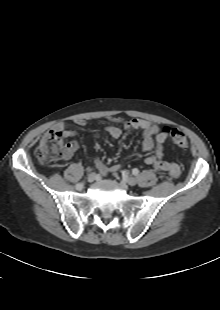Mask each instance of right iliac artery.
<instances>
[{"label": "right iliac artery", "mask_w": 220, "mask_h": 310, "mask_svg": "<svg viewBox=\"0 0 220 310\" xmlns=\"http://www.w3.org/2000/svg\"><path fill=\"white\" fill-rule=\"evenodd\" d=\"M83 186H84L83 183H78V184H76L75 188H76L77 190H81V189L83 188Z\"/></svg>", "instance_id": "1"}]
</instances>
